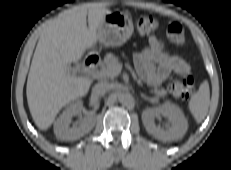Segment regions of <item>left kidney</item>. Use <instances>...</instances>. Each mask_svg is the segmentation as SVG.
I'll return each mask as SVG.
<instances>
[{
    "label": "left kidney",
    "instance_id": "1",
    "mask_svg": "<svg viewBox=\"0 0 231 170\" xmlns=\"http://www.w3.org/2000/svg\"><path fill=\"white\" fill-rule=\"evenodd\" d=\"M167 117L171 125L167 130L155 125V118ZM142 122L148 133L156 139L167 142L178 140L188 129V122L182 110L171 102H166L156 108H148L142 113Z\"/></svg>",
    "mask_w": 231,
    "mask_h": 170
}]
</instances>
